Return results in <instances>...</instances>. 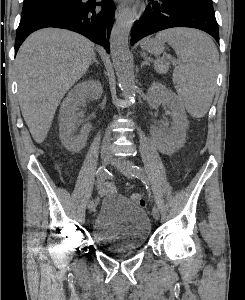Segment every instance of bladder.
I'll list each match as a JSON object with an SVG mask.
<instances>
[{
  "label": "bladder",
  "mask_w": 245,
  "mask_h": 300,
  "mask_svg": "<svg viewBox=\"0 0 245 300\" xmlns=\"http://www.w3.org/2000/svg\"><path fill=\"white\" fill-rule=\"evenodd\" d=\"M150 232L151 223L145 211L117 193L104 198L91 226L93 240L116 253L143 248Z\"/></svg>",
  "instance_id": "bladder-1"
}]
</instances>
